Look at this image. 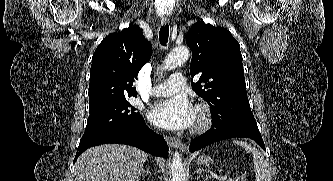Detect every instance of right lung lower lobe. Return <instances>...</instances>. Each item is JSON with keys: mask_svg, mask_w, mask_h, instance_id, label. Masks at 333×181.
I'll return each instance as SVG.
<instances>
[{"mask_svg": "<svg viewBox=\"0 0 333 181\" xmlns=\"http://www.w3.org/2000/svg\"><path fill=\"white\" fill-rule=\"evenodd\" d=\"M106 143L131 145L154 156H168V145L163 136L158 135L149 129L142 118L141 121L126 129L82 137L79 144V151L76 153L75 161L77 157L86 149Z\"/></svg>", "mask_w": 333, "mask_h": 181, "instance_id": "right-lung-lower-lobe-1", "label": "right lung lower lobe"}]
</instances>
